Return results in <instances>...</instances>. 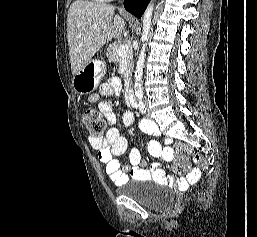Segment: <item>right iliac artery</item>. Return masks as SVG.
Segmentation results:
<instances>
[{"instance_id":"obj_1","label":"right iliac artery","mask_w":257,"mask_h":237,"mask_svg":"<svg viewBox=\"0 0 257 237\" xmlns=\"http://www.w3.org/2000/svg\"><path fill=\"white\" fill-rule=\"evenodd\" d=\"M139 111L142 113V114H145L146 113V107H145V104L143 102H140L139 105Z\"/></svg>"}]
</instances>
